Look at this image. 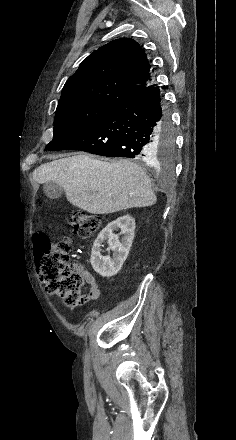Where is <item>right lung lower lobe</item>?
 I'll return each instance as SVG.
<instances>
[{
  "instance_id": "right-lung-lower-lobe-1",
  "label": "right lung lower lobe",
  "mask_w": 236,
  "mask_h": 440,
  "mask_svg": "<svg viewBox=\"0 0 236 440\" xmlns=\"http://www.w3.org/2000/svg\"><path fill=\"white\" fill-rule=\"evenodd\" d=\"M170 127L160 88L153 84L116 106L84 132L50 150H82L150 161L156 140Z\"/></svg>"
}]
</instances>
